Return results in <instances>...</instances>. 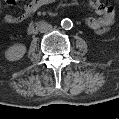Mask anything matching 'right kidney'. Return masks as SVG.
<instances>
[{
  "label": "right kidney",
  "mask_w": 119,
  "mask_h": 119,
  "mask_svg": "<svg viewBox=\"0 0 119 119\" xmlns=\"http://www.w3.org/2000/svg\"><path fill=\"white\" fill-rule=\"evenodd\" d=\"M26 53V47L23 44H14L6 51V57L10 61L21 59Z\"/></svg>",
  "instance_id": "ca27d5eb"
}]
</instances>
